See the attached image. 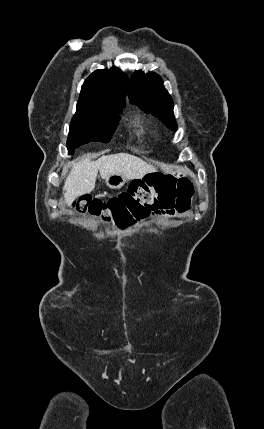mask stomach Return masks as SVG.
Instances as JSON below:
<instances>
[{"instance_id": "1", "label": "stomach", "mask_w": 264, "mask_h": 429, "mask_svg": "<svg viewBox=\"0 0 264 429\" xmlns=\"http://www.w3.org/2000/svg\"><path fill=\"white\" fill-rule=\"evenodd\" d=\"M187 173L183 168H175L170 171V176L174 178H180L185 176ZM157 173L151 172L143 176L144 179L150 180L157 176ZM127 182V179L122 177L121 174H111L105 179L106 185L111 189H120Z\"/></svg>"}]
</instances>
